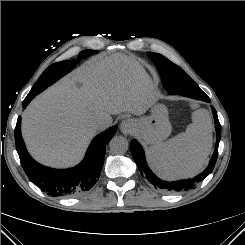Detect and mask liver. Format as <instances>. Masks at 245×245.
<instances>
[{"mask_svg":"<svg viewBox=\"0 0 245 245\" xmlns=\"http://www.w3.org/2000/svg\"><path fill=\"white\" fill-rule=\"evenodd\" d=\"M141 67L131 57L96 58L38 95L22 115V135L40 163L67 167L83 156L97 130L111 115H142L149 89ZM108 124L98 127L96 122Z\"/></svg>","mask_w":245,"mask_h":245,"instance_id":"liver-1","label":"liver"}]
</instances>
